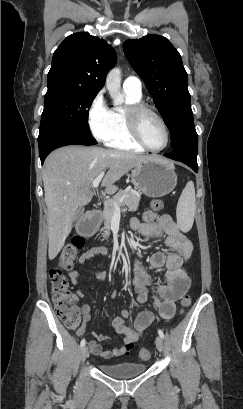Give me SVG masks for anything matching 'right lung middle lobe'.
<instances>
[{"mask_svg": "<svg viewBox=\"0 0 243 409\" xmlns=\"http://www.w3.org/2000/svg\"><path fill=\"white\" fill-rule=\"evenodd\" d=\"M39 136L52 129H68L91 135L89 108L97 92L85 91L61 82H48Z\"/></svg>", "mask_w": 243, "mask_h": 409, "instance_id": "obj_1", "label": "right lung middle lobe"}]
</instances>
